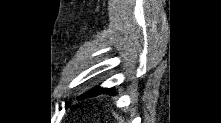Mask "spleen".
Masks as SVG:
<instances>
[{
  "instance_id": "3e777b00",
  "label": "spleen",
  "mask_w": 221,
  "mask_h": 123,
  "mask_svg": "<svg viewBox=\"0 0 221 123\" xmlns=\"http://www.w3.org/2000/svg\"><path fill=\"white\" fill-rule=\"evenodd\" d=\"M116 119L119 121V123H123L124 120L121 117H118V115H115Z\"/></svg>"
}]
</instances>
